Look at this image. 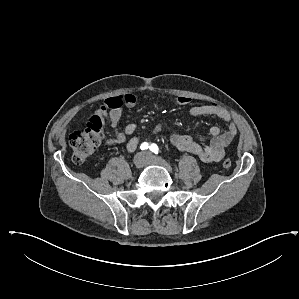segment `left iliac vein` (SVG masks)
<instances>
[{
	"label": "left iliac vein",
	"mask_w": 299,
	"mask_h": 299,
	"mask_svg": "<svg viewBox=\"0 0 299 299\" xmlns=\"http://www.w3.org/2000/svg\"><path fill=\"white\" fill-rule=\"evenodd\" d=\"M146 164L158 165L164 167L167 171L172 172V167L163 159L154 157L150 153H145Z\"/></svg>",
	"instance_id": "left-iliac-vein-1"
}]
</instances>
